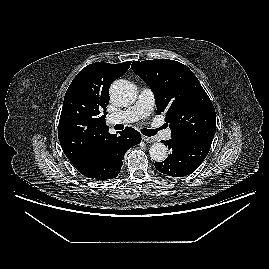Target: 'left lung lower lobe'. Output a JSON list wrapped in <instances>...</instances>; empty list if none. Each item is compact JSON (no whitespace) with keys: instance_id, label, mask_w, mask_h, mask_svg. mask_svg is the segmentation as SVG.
<instances>
[{"instance_id":"left-lung-lower-lobe-1","label":"left lung lower lobe","mask_w":269,"mask_h":269,"mask_svg":"<svg viewBox=\"0 0 269 269\" xmlns=\"http://www.w3.org/2000/svg\"><path fill=\"white\" fill-rule=\"evenodd\" d=\"M172 153L163 162H155V168L172 177H183L194 172L209 153L207 142L182 143L173 139L162 140Z\"/></svg>"}]
</instances>
